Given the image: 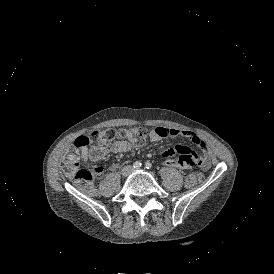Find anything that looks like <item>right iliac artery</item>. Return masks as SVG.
I'll use <instances>...</instances> for the list:
<instances>
[{"instance_id":"1","label":"right iliac artery","mask_w":274,"mask_h":274,"mask_svg":"<svg viewBox=\"0 0 274 274\" xmlns=\"http://www.w3.org/2000/svg\"><path fill=\"white\" fill-rule=\"evenodd\" d=\"M141 162H139V161H136L134 164H133V167L135 168V169H139L140 167H141Z\"/></svg>"}]
</instances>
